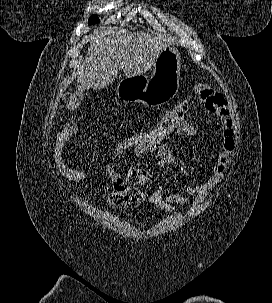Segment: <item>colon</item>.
<instances>
[{"label": "colon", "instance_id": "5ec220e1", "mask_svg": "<svg viewBox=\"0 0 272 303\" xmlns=\"http://www.w3.org/2000/svg\"><path fill=\"white\" fill-rule=\"evenodd\" d=\"M194 87V90L197 86ZM188 98L173 104L153 125L138 131L130 132L122 136L113 146L114 153H123L137 149L153 148L163 145L166 140L191 126L187 118ZM79 130L76 123L69 124L62 130L54 144V163L59 174L74 182H79L91 176L92 171L87 166H70L64 159V147L66 142ZM114 167L108 164L105 171H113ZM145 199L140 191L129 193H112L109 201L117 207H134Z\"/></svg>", "mask_w": 272, "mask_h": 303}]
</instances>
